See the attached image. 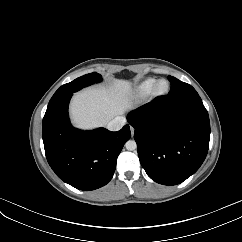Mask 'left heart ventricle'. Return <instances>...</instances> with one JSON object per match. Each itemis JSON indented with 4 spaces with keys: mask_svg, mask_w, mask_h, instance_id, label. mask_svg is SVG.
<instances>
[{
    "mask_svg": "<svg viewBox=\"0 0 242 242\" xmlns=\"http://www.w3.org/2000/svg\"><path fill=\"white\" fill-rule=\"evenodd\" d=\"M167 87V84L165 82H162L159 84L158 89L159 91H164Z\"/></svg>",
    "mask_w": 242,
    "mask_h": 242,
    "instance_id": "left-heart-ventricle-1",
    "label": "left heart ventricle"
}]
</instances>
